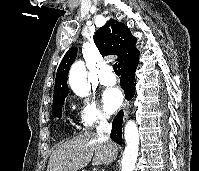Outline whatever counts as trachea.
<instances>
[{
	"label": "trachea",
	"instance_id": "3493384b",
	"mask_svg": "<svg viewBox=\"0 0 199 171\" xmlns=\"http://www.w3.org/2000/svg\"><path fill=\"white\" fill-rule=\"evenodd\" d=\"M113 70H114V72H115L116 74L119 73L117 63H115V64L113 65Z\"/></svg>",
	"mask_w": 199,
	"mask_h": 171
}]
</instances>
